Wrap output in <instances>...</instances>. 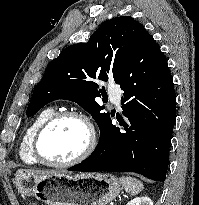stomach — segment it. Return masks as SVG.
Returning <instances> with one entry per match:
<instances>
[{
    "mask_svg": "<svg viewBox=\"0 0 199 205\" xmlns=\"http://www.w3.org/2000/svg\"><path fill=\"white\" fill-rule=\"evenodd\" d=\"M17 190L47 205H106L119 194L120 181L107 173H54L31 175L17 172Z\"/></svg>",
    "mask_w": 199,
    "mask_h": 205,
    "instance_id": "obj_1",
    "label": "stomach"
}]
</instances>
